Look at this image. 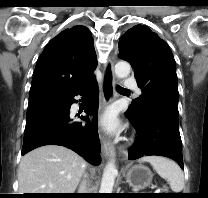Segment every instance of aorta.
<instances>
[{
  "label": "aorta",
  "instance_id": "obj_1",
  "mask_svg": "<svg viewBox=\"0 0 208 198\" xmlns=\"http://www.w3.org/2000/svg\"><path fill=\"white\" fill-rule=\"evenodd\" d=\"M130 70L131 66L128 62L119 61L115 65V74L118 78L123 79L127 77ZM116 175L117 168L114 161L108 162L103 172L99 193H112Z\"/></svg>",
  "mask_w": 208,
  "mask_h": 198
}]
</instances>
